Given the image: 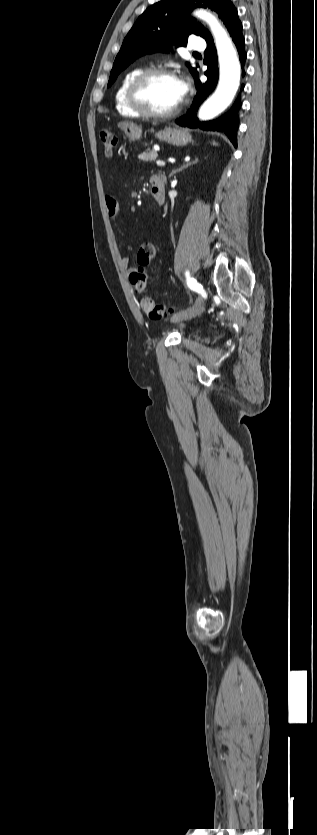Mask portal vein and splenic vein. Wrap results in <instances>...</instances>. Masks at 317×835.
<instances>
[{
    "label": "portal vein and splenic vein",
    "instance_id": "18ae733b",
    "mask_svg": "<svg viewBox=\"0 0 317 835\" xmlns=\"http://www.w3.org/2000/svg\"><path fill=\"white\" fill-rule=\"evenodd\" d=\"M156 164H157V166H159V167H164V166H165V162H163V161H161V160L156 161ZM161 173H162V172H161V171H159V174H161Z\"/></svg>",
    "mask_w": 317,
    "mask_h": 835
}]
</instances>
